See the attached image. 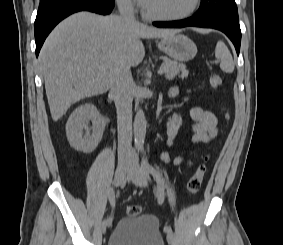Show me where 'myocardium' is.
I'll return each mask as SVG.
<instances>
[{
	"mask_svg": "<svg viewBox=\"0 0 283 245\" xmlns=\"http://www.w3.org/2000/svg\"><path fill=\"white\" fill-rule=\"evenodd\" d=\"M200 5H201V0H193L192 5L188 10H186L185 12H183L179 15H174V16L153 14V13L149 12L148 10H146V8L143 5L142 13H143L144 17H146L150 20L179 21V20L186 19V18L190 17L191 15H193L198 10Z\"/></svg>",
	"mask_w": 283,
	"mask_h": 245,
	"instance_id": "f54148a6",
	"label": "myocardium"
}]
</instances>
